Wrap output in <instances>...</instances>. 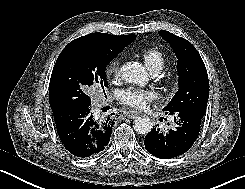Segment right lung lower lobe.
Returning a JSON list of instances; mask_svg holds the SVG:
<instances>
[{
    "label": "right lung lower lobe",
    "instance_id": "98d812e1",
    "mask_svg": "<svg viewBox=\"0 0 245 189\" xmlns=\"http://www.w3.org/2000/svg\"><path fill=\"white\" fill-rule=\"evenodd\" d=\"M58 135L65 148L81 158L103 151L108 145L115 119L96 121L89 105L61 108L53 112Z\"/></svg>",
    "mask_w": 245,
    "mask_h": 189
}]
</instances>
